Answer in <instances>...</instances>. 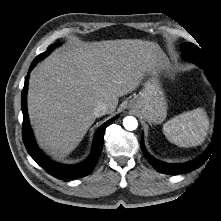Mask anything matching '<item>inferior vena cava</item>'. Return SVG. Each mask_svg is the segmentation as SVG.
I'll return each mask as SVG.
<instances>
[{
  "instance_id": "obj_1",
  "label": "inferior vena cava",
  "mask_w": 221,
  "mask_h": 221,
  "mask_svg": "<svg viewBox=\"0 0 221 221\" xmlns=\"http://www.w3.org/2000/svg\"><path fill=\"white\" fill-rule=\"evenodd\" d=\"M109 112V106L106 103H99L93 111L95 117H101Z\"/></svg>"
}]
</instances>
